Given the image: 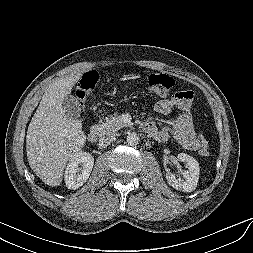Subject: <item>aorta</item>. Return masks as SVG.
I'll return each instance as SVG.
<instances>
[{"label": "aorta", "mask_w": 253, "mask_h": 253, "mask_svg": "<svg viewBox=\"0 0 253 253\" xmlns=\"http://www.w3.org/2000/svg\"><path fill=\"white\" fill-rule=\"evenodd\" d=\"M140 138L139 135L135 132L129 133L127 135V143L130 146H136L139 144Z\"/></svg>", "instance_id": "1"}]
</instances>
